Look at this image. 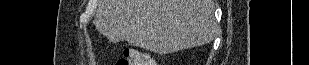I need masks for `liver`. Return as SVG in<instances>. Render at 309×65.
<instances>
[{"instance_id":"1","label":"liver","mask_w":309,"mask_h":65,"mask_svg":"<svg viewBox=\"0 0 309 65\" xmlns=\"http://www.w3.org/2000/svg\"><path fill=\"white\" fill-rule=\"evenodd\" d=\"M213 0H97L94 25L110 42L159 54L214 39Z\"/></svg>"}]
</instances>
